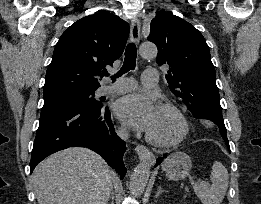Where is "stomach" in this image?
Wrapping results in <instances>:
<instances>
[{"label":"stomach","instance_id":"1","mask_svg":"<svg viewBox=\"0 0 261 204\" xmlns=\"http://www.w3.org/2000/svg\"><path fill=\"white\" fill-rule=\"evenodd\" d=\"M192 167L190 157L183 152L171 154L164 162L162 169L170 180L184 179Z\"/></svg>","mask_w":261,"mask_h":204}]
</instances>
